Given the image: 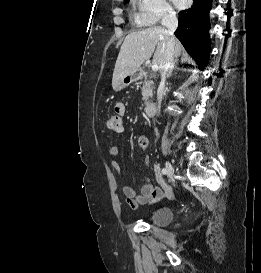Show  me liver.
I'll list each match as a JSON object with an SVG mask.
<instances>
[{
    "mask_svg": "<svg viewBox=\"0 0 261 273\" xmlns=\"http://www.w3.org/2000/svg\"><path fill=\"white\" fill-rule=\"evenodd\" d=\"M169 39L167 29L161 26L150 27L142 31L128 34L120 48L112 77V87L115 89L121 80L135 73L153 53V64L159 69L164 62L166 45ZM175 57H179L183 50L178 39H174ZM144 48V50H142ZM156 49V50H155Z\"/></svg>",
    "mask_w": 261,
    "mask_h": 273,
    "instance_id": "1",
    "label": "liver"
}]
</instances>
